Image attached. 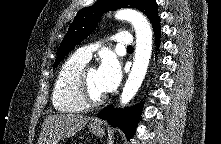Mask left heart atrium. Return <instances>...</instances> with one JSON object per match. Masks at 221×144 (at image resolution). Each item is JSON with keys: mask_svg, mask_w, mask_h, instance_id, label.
I'll return each instance as SVG.
<instances>
[{"mask_svg": "<svg viewBox=\"0 0 221 144\" xmlns=\"http://www.w3.org/2000/svg\"><path fill=\"white\" fill-rule=\"evenodd\" d=\"M97 71L98 85L103 92H111L117 88L122 78V70L115 56L105 55Z\"/></svg>", "mask_w": 221, "mask_h": 144, "instance_id": "obj_1", "label": "left heart atrium"}]
</instances>
